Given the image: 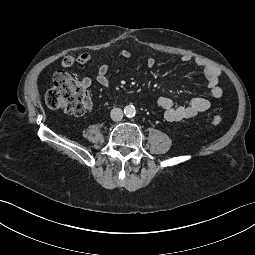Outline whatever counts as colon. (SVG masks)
<instances>
[{"mask_svg": "<svg viewBox=\"0 0 255 255\" xmlns=\"http://www.w3.org/2000/svg\"><path fill=\"white\" fill-rule=\"evenodd\" d=\"M46 104L73 116H81L91 106V97L84 85L69 73L58 70L53 75L52 87L45 94ZM212 123L219 125L222 118L215 114Z\"/></svg>", "mask_w": 255, "mask_h": 255, "instance_id": "obj_1", "label": "colon"}]
</instances>
